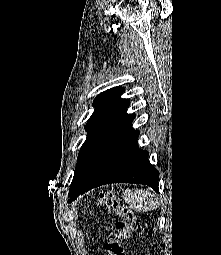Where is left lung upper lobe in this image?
I'll return each instance as SVG.
<instances>
[{
	"label": "left lung upper lobe",
	"instance_id": "left-lung-upper-lobe-1",
	"mask_svg": "<svg viewBox=\"0 0 221 255\" xmlns=\"http://www.w3.org/2000/svg\"><path fill=\"white\" fill-rule=\"evenodd\" d=\"M123 91L124 89L120 86L114 87L100 93L94 99L93 106L95 111L85 126L88 134L78 154L77 165L68 196H70L94 151L108 134L129 116L126 110L130 103L128 100L121 98Z\"/></svg>",
	"mask_w": 221,
	"mask_h": 255
}]
</instances>
